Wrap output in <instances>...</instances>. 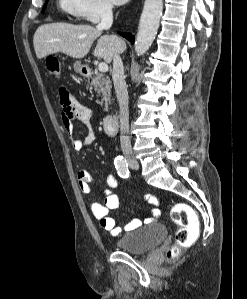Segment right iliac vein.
Returning a JSON list of instances; mask_svg holds the SVG:
<instances>
[{"label": "right iliac vein", "mask_w": 247, "mask_h": 299, "mask_svg": "<svg viewBox=\"0 0 247 299\" xmlns=\"http://www.w3.org/2000/svg\"><path fill=\"white\" fill-rule=\"evenodd\" d=\"M126 160L129 164V166L132 168V169H135V170H138L139 169V163L138 161L130 154H127L126 155Z\"/></svg>", "instance_id": "63e3f726"}]
</instances>
